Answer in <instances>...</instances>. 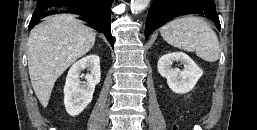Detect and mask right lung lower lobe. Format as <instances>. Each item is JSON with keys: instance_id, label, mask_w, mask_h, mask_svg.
Returning a JSON list of instances; mask_svg holds the SVG:
<instances>
[{"instance_id": "right-lung-lower-lobe-1", "label": "right lung lower lobe", "mask_w": 257, "mask_h": 130, "mask_svg": "<svg viewBox=\"0 0 257 130\" xmlns=\"http://www.w3.org/2000/svg\"><path fill=\"white\" fill-rule=\"evenodd\" d=\"M113 0H92L69 3L68 1H42L38 0L37 7L32 15L29 30L36 24L40 23V19L51 13H47L52 7H74L77 11L74 14L80 15L79 19L88 23V26L96 31L105 34L109 43L113 46V39L110 30L111 5Z\"/></svg>"}]
</instances>
